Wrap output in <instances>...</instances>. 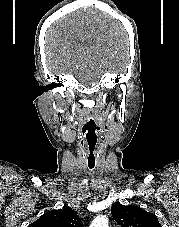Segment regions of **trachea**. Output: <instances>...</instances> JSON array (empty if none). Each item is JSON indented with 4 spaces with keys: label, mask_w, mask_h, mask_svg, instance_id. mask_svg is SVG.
I'll return each instance as SVG.
<instances>
[{
    "label": "trachea",
    "mask_w": 179,
    "mask_h": 227,
    "mask_svg": "<svg viewBox=\"0 0 179 227\" xmlns=\"http://www.w3.org/2000/svg\"><path fill=\"white\" fill-rule=\"evenodd\" d=\"M87 164L89 169H93L96 164V158H97V150H88L87 152Z\"/></svg>",
    "instance_id": "3493384b"
}]
</instances>
